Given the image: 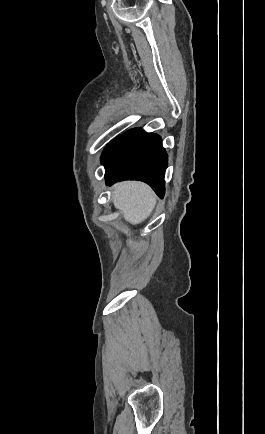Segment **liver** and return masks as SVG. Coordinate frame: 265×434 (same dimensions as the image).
I'll use <instances>...</instances> for the list:
<instances>
[{"mask_svg":"<svg viewBox=\"0 0 265 434\" xmlns=\"http://www.w3.org/2000/svg\"><path fill=\"white\" fill-rule=\"evenodd\" d=\"M156 196L142 182H121L113 188L111 202L130 224H141L152 214L156 206Z\"/></svg>","mask_w":265,"mask_h":434,"instance_id":"liver-1","label":"liver"}]
</instances>
